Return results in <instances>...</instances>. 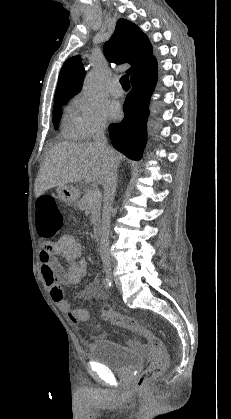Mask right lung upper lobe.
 <instances>
[{
	"instance_id": "1",
	"label": "right lung upper lobe",
	"mask_w": 231,
	"mask_h": 419,
	"mask_svg": "<svg viewBox=\"0 0 231 419\" xmlns=\"http://www.w3.org/2000/svg\"><path fill=\"white\" fill-rule=\"evenodd\" d=\"M103 51L110 62L130 63L127 71L131 76L155 61L147 36L134 23L119 19L110 40ZM85 69L80 56L69 58L62 66L54 101L73 97L82 88Z\"/></svg>"
}]
</instances>
